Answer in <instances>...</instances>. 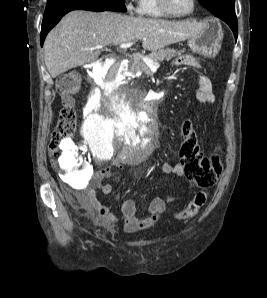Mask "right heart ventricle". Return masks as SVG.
<instances>
[{"mask_svg": "<svg viewBox=\"0 0 267 298\" xmlns=\"http://www.w3.org/2000/svg\"><path fill=\"white\" fill-rule=\"evenodd\" d=\"M138 13L143 18L162 19L168 17L159 9L156 0H139Z\"/></svg>", "mask_w": 267, "mask_h": 298, "instance_id": "right-heart-ventricle-1", "label": "right heart ventricle"}]
</instances>
